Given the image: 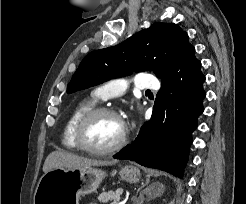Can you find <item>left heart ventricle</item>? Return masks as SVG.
Returning <instances> with one entry per match:
<instances>
[{
	"label": "left heart ventricle",
	"mask_w": 246,
	"mask_h": 204,
	"mask_svg": "<svg viewBox=\"0 0 246 204\" xmlns=\"http://www.w3.org/2000/svg\"><path fill=\"white\" fill-rule=\"evenodd\" d=\"M123 125L111 115L94 118L85 130L86 143L94 148H107L115 144L121 137Z\"/></svg>",
	"instance_id": "obj_1"
}]
</instances>
